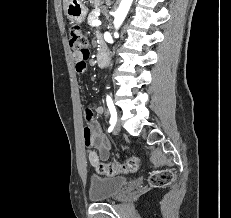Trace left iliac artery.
Masks as SVG:
<instances>
[{
	"mask_svg": "<svg viewBox=\"0 0 231 218\" xmlns=\"http://www.w3.org/2000/svg\"><path fill=\"white\" fill-rule=\"evenodd\" d=\"M107 106L111 114L110 124L115 125L117 121V112L110 96H107Z\"/></svg>",
	"mask_w": 231,
	"mask_h": 218,
	"instance_id": "left-iliac-artery-1",
	"label": "left iliac artery"
}]
</instances>
